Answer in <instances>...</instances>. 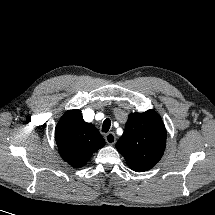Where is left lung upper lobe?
<instances>
[{
	"instance_id": "1",
	"label": "left lung upper lobe",
	"mask_w": 215,
	"mask_h": 215,
	"mask_svg": "<svg viewBox=\"0 0 215 215\" xmlns=\"http://www.w3.org/2000/svg\"><path fill=\"white\" fill-rule=\"evenodd\" d=\"M166 146V129L154 110L131 113L125 131L116 143L128 166L137 172L151 169L162 157Z\"/></svg>"
}]
</instances>
